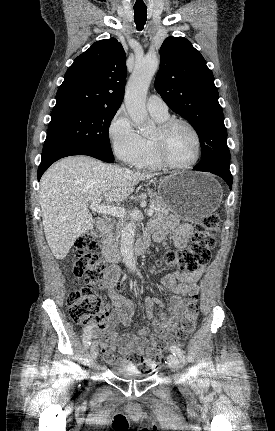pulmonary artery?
Segmentation results:
<instances>
[{
  "instance_id": "pulmonary-artery-1",
  "label": "pulmonary artery",
  "mask_w": 275,
  "mask_h": 431,
  "mask_svg": "<svg viewBox=\"0 0 275 431\" xmlns=\"http://www.w3.org/2000/svg\"><path fill=\"white\" fill-rule=\"evenodd\" d=\"M146 106L151 114L166 115L168 114V106L164 100L155 94L147 98Z\"/></svg>"
}]
</instances>
